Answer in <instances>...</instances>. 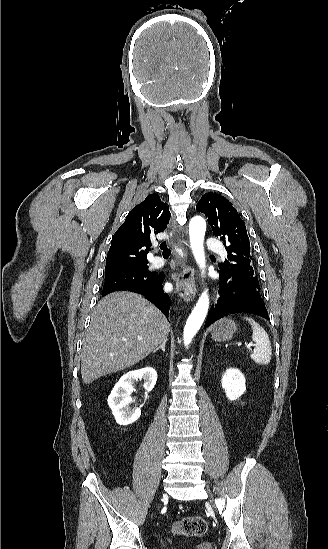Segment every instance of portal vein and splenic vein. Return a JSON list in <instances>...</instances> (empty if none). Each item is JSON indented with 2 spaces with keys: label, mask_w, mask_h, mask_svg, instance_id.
<instances>
[{
  "label": "portal vein and splenic vein",
  "mask_w": 328,
  "mask_h": 549,
  "mask_svg": "<svg viewBox=\"0 0 328 549\" xmlns=\"http://www.w3.org/2000/svg\"><path fill=\"white\" fill-rule=\"evenodd\" d=\"M139 339H142V337H139ZM238 345H242V343H238ZM250 347H256V344H247L246 350H250Z\"/></svg>",
  "instance_id": "portal-vein-and-splenic-vein-1"
}]
</instances>
